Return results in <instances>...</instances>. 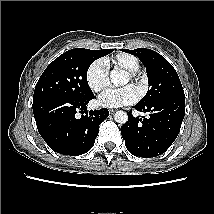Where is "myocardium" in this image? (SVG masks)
<instances>
[{
    "label": "myocardium",
    "instance_id": "1",
    "mask_svg": "<svg viewBox=\"0 0 214 214\" xmlns=\"http://www.w3.org/2000/svg\"><path fill=\"white\" fill-rule=\"evenodd\" d=\"M128 79L132 82L136 81L135 73H128Z\"/></svg>",
    "mask_w": 214,
    "mask_h": 214
}]
</instances>
